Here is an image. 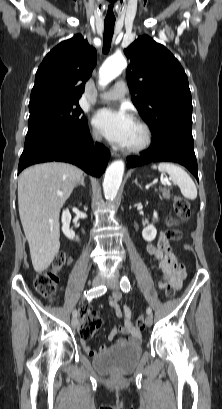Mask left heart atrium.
I'll return each instance as SVG.
<instances>
[{
	"mask_svg": "<svg viewBox=\"0 0 222 409\" xmlns=\"http://www.w3.org/2000/svg\"><path fill=\"white\" fill-rule=\"evenodd\" d=\"M97 130L111 143L126 147L134 127L132 116L124 109H101L93 117Z\"/></svg>",
	"mask_w": 222,
	"mask_h": 409,
	"instance_id": "1",
	"label": "left heart atrium"
}]
</instances>
